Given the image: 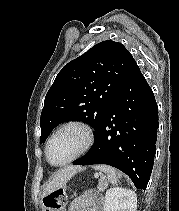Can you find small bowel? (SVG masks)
<instances>
[{
    "label": "small bowel",
    "mask_w": 179,
    "mask_h": 211,
    "mask_svg": "<svg viewBox=\"0 0 179 211\" xmlns=\"http://www.w3.org/2000/svg\"><path fill=\"white\" fill-rule=\"evenodd\" d=\"M65 211H103L102 198L93 191L79 194L73 198Z\"/></svg>",
    "instance_id": "small-bowel-1"
}]
</instances>
